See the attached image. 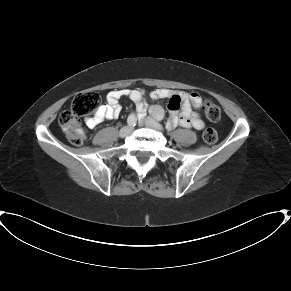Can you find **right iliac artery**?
<instances>
[{
  "label": "right iliac artery",
  "instance_id": "obj_1",
  "mask_svg": "<svg viewBox=\"0 0 291 291\" xmlns=\"http://www.w3.org/2000/svg\"><path fill=\"white\" fill-rule=\"evenodd\" d=\"M136 121H137V118H136V115L135 114H130L128 116V119H127V124L130 126V127H133L136 125Z\"/></svg>",
  "mask_w": 291,
  "mask_h": 291
}]
</instances>
